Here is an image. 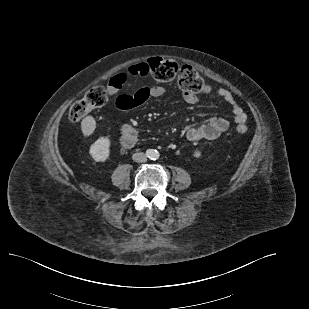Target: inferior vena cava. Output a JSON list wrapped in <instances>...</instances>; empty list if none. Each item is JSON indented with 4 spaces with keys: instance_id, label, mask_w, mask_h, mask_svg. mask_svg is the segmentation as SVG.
Returning <instances> with one entry per match:
<instances>
[{
    "instance_id": "obj_1",
    "label": "inferior vena cava",
    "mask_w": 309,
    "mask_h": 309,
    "mask_svg": "<svg viewBox=\"0 0 309 309\" xmlns=\"http://www.w3.org/2000/svg\"><path fill=\"white\" fill-rule=\"evenodd\" d=\"M132 159L135 162L143 163V162L147 161V155L145 153H143V152H137V153L133 154Z\"/></svg>"
}]
</instances>
